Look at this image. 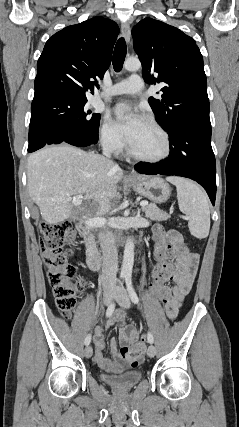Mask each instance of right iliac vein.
I'll return each instance as SVG.
<instances>
[{"label":"right iliac vein","instance_id":"right-iliac-vein-1","mask_svg":"<svg viewBox=\"0 0 239 427\" xmlns=\"http://www.w3.org/2000/svg\"><path fill=\"white\" fill-rule=\"evenodd\" d=\"M114 294H115V292L112 291V290L106 291L104 293V295H103V302H104L105 305H109L110 304V302H111ZM92 354H93V349H92L91 346L88 345L84 349V355H85L86 358H90L92 356Z\"/></svg>","mask_w":239,"mask_h":427}]
</instances>
